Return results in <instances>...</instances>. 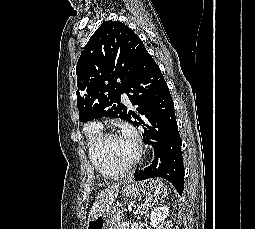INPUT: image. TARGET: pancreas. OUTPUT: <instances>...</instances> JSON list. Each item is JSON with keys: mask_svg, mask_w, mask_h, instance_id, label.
Wrapping results in <instances>:
<instances>
[{"mask_svg": "<svg viewBox=\"0 0 255 229\" xmlns=\"http://www.w3.org/2000/svg\"><path fill=\"white\" fill-rule=\"evenodd\" d=\"M114 229H129V226H123L120 223H117Z\"/></svg>", "mask_w": 255, "mask_h": 229, "instance_id": "1", "label": "pancreas"}]
</instances>
